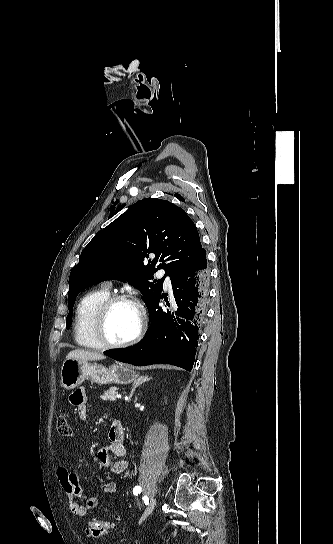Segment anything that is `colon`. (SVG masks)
Returning a JSON list of instances; mask_svg holds the SVG:
<instances>
[{
  "label": "colon",
  "instance_id": "colon-1",
  "mask_svg": "<svg viewBox=\"0 0 333 544\" xmlns=\"http://www.w3.org/2000/svg\"><path fill=\"white\" fill-rule=\"evenodd\" d=\"M56 429L61 436H70L72 429L65 416L60 415L56 421ZM116 528V523L109 520L94 519L88 523L87 531L89 534L99 537Z\"/></svg>",
  "mask_w": 333,
  "mask_h": 544
}]
</instances>
